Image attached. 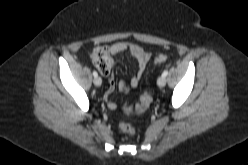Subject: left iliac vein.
I'll return each mask as SVG.
<instances>
[{
	"label": "left iliac vein",
	"mask_w": 248,
	"mask_h": 165,
	"mask_svg": "<svg viewBox=\"0 0 248 165\" xmlns=\"http://www.w3.org/2000/svg\"><path fill=\"white\" fill-rule=\"evenodd\" d=\"M157 84L160 88L164 87L166 85V78L161 76L157 80Z\"/></svg>",
	"instance_id": "left-iliac-vein-1"
}]
</instances>
